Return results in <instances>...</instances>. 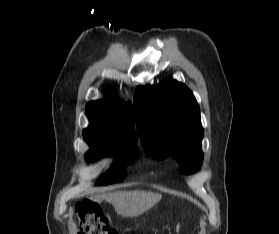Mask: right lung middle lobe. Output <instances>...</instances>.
<instances>
[{
	"label": "right lung middle lobe",
	"mask_w": 279,
	"mask_h": 234,
	"mask_svg": "<svg viewBox=\"0 0 279 234\" xmlns=\"http://www.w3.org/2000/svg\"><path fill=\"white\" fill-rule=\"evenodd\" d=\"M85 138V137H84ZM90 146V150L86 153L85 157L88 161L97 160L105 156H114L115 163L112 165L109 172L101 176V184H108L122 181L126 176L125 154H131L134 158L139 156V151L135 144H110L101 143L85 138Z\"/></svg>",
	"instance_id": "1"
}]
</instances>
